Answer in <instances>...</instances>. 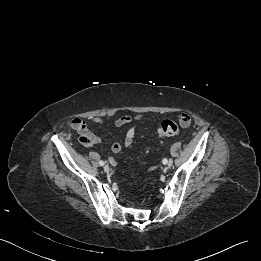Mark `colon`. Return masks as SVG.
<instances>
[{
  "instance_id": "1",
  "label": "colon",
  "mask_w": 261,
  "mask_h": 261,
  "mask_svg": "<svg viewBox=\"0 0 261 261\" xmlns=\"http://www.w3.org/2000/svg\"><path fill=\"white\" fill-rule=\"evenodd\" d=\"M189 120L185 117H178V123L173 120H165L158 129L160 138L173 137L179 134V125L188 124Z\"/></svg>"
}]
</instances>
